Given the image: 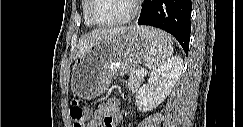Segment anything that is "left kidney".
Wrapping results in <instances>:
<instances>
[{"instance_id": "1", "label": "left kidney", "mask_w": 243, "mask_h": 127, "mask_svg": "<svg viewBox=\"0 0 243 127\" xmlns=\"http://www.w3.org/2000/svg\"><path fill=\"white\" fill-rule=\"evenodd\" d=\"M183 67L181 57L174 56L160 68L154 70L149 82L140 87L136 95V106L141 112L151 111L170 94ZM155 85V89L153 86Z\"/></svg>"}]
</instances>
